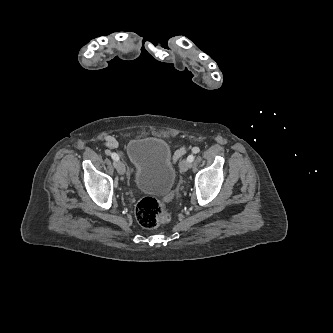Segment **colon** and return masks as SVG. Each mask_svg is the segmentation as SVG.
<instances>
[{
  "mask_svg": "<svg viewBox=\"0 0 333 333\" xmlns=\"http://www.w3.org/2000/svg\"><path fill=\"white\" fill-rule=\"evenodd\" d=\"M135 216L138 223L144 228H155L167 223L170 215L161 202L151 196L139 200L135 209Z\"/></svg>",
  "mask_w": 333,
  "mask_h": 333,
  "instance_id": "obj_1",
  "label": "colon"
}]
</instances>
